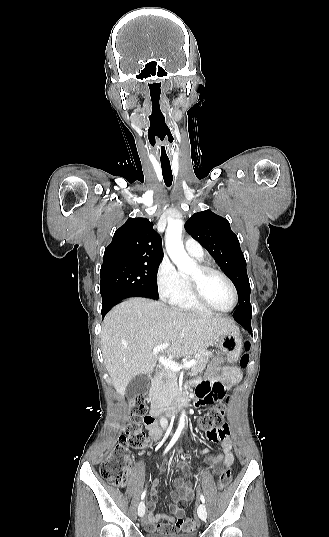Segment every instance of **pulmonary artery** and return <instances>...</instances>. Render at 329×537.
<instances>
[{
  "instance_id": "pulmonary-artery-1",
  "label": "pulmonary artery",
  "mask_w": 329,
  "mask_h": 537,
  "mask_svg": "<svg viewBox=\"0 0 329 537\" xmlns=\"http://www.w3.org/2000/svg\"><path fill=\"white\" fill-rule=\"evenodd\" d=\"M184 247L190 255L196 258H202L204 255L202 246L192 238H189L185 241Z\"/></svg>"
}]
</instances>
